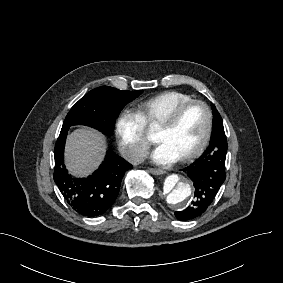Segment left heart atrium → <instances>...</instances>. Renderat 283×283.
<instances>
[{"label": "left heart atrium", "instance_id": "39dd6f15", "mask_svg": "<svg viewBox=\"0 0 283 283\" xmlns=\"http://www.w3.org/2000/svg\"><path fill=\"white\" fill-rule=\"evenodd\" d=\"M177 154L165 143L159 144L149 155V159L159 165H168L178 160Z\"/></svg>", "mask_w": 283, "mask_h": 283}]
</instances>
